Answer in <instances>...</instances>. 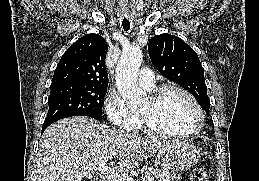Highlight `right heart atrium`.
I'll use <instances>...</instances> for the list:
<instances>
[{"label":"right heart atrium","mask_w":259,"mask_h":181,"mask_svg":"<svg viewBox=\"0 0 259 181\" xmlns=\"http://www.w3.org/2000/svg\"><path fill=\"white\" fill-rule=\"evenodd\" d=\"M104 111L112 126L117 129L132 130L136 113L131 111L119 94L109 92L104 100Z\"/></svg>","instance_id":"right-heart-atrium-1"}]
</instances>
